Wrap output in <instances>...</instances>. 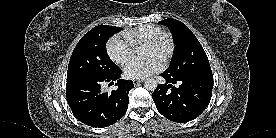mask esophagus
<instances>
[{"label": "esophagus", "instance_id": "1", "mask_svg": "<svg viewBox=\"0 0 276 138\" xmlns=\"http://www.w3.org/2000/svg\"><path fill=\"white\" fill-rule=\"evenodd\" d=\"M132 82H133L134 85H137V84H139L140 82H142V80L133 79Z\"/></svg>", "mask_w": 276, "mask_h": 138}]
</instances>
